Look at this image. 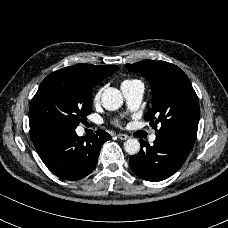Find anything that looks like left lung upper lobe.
Returning a JSON list of instances; mask_svg holds the SVG:
<instances>
[{
    "mask_svg": "<svg viewBox=\"0 0 228 228\" xmlns=\"http://www.w3.org/2000/svg\"><path fill=\"white\" fill-rule=\"evenodd\" d=\"M142 74L152 88V108L145 120L157 136H167L195 142L199 122V100L186 74L165 61L144 60L126 64ZM154 119H156L154 121ZM161 127L157 130V124Z\"/></svg>",
    "mask_w": 228,
    "mask_h": 228,
    "instance_id": "obj_1",
    "label": "left lung upper lobe"
}]
</instances>
